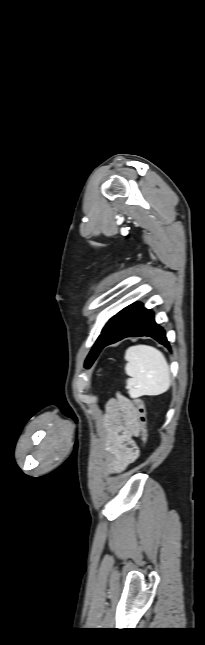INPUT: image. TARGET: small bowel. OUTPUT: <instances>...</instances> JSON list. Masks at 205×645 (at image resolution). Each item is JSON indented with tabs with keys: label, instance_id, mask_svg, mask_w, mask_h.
Masks as SVG:
<instances>
[{
	"label": "small bowel",
	"instance_id": "obj_1",
	"mask_svg": "<svg viewBox=\"0 0 205 645\" xmlns=\"http://www.w3.org/2000/svg\"><path fill=\"white\" fill-rule=\"evenodd\" d=\"M140 431L133 402L123 395L109 401L101 438L105 466L110 473H121L138 457L135 437Z\"/></svg>",
	"mask_w": 205,
	"mask_h": 645
}]
</instances>
